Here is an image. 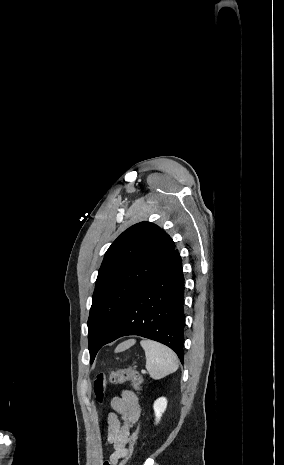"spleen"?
Masks as SVG:
<instances>
[{
    "label": "spleen",
    "mask_w": 284,
    "mask_h": 465,
    "mask_svg": "<svg viewBox=\"0 0 284 465\" xmlns=\"http://www.w3.org/2000/svg\"><path fill=\"white\" fill-rule=\"evenodd\" d=\"M140 345L145 351V367L152 379H163L177 371L178 359L171 349L156 341H149V339L141 341Z\"/></svg>",
    "instance_id": "spleen-1"
}]
</instances>
